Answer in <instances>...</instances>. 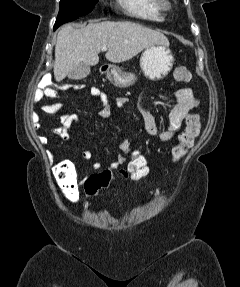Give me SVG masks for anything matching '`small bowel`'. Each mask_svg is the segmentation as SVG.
I'll return each instance as SVG.
<instances>
[{
    "label": "small bowel",
    "mask_w": 240,
    "mask_h": 287,
    "mask_svg": "<svg viewBox=\"0 0 240 287\" xmlns=\"http://www.w3.org/2000/svg\"><path fill=\"white\" fill-rule=\"evenodd\" d=\"M90 93L102 103V108L98 113L101 119H108L112 114L113 107L123 109L128 103V99L126 97L116 96L110 98L97 87H92L90 89ZM58 97L59 94L54 88L46 86L36 90L33 100L35 103H40L45 98L56 99ZM198 106L199 100L190 88L179 89L175 93L174 105L165 122V130L159 132L153 115L145 105V95H143L140 100V112L143 118L144 129L149 136L158 139L161 142H169L174 137L179 135V133L183 130L184 121L190 115L191 111ZM40 109L46 114H60V125L53 128L52 132L57 134L61 139L68 141L70 138L68 131L77 124L78 117L75 114L65 112V106L63 104H41ZM33 119L35 122H38V114H34ZM41 141L42 143H47V138L41 137ZM130 150L131 147L129 146L127 140L123 138L120 143V152L117 158L103 171L112 173L118 170L120 174L124 176L125 168L122 167L126 165ZM79 155L81 159L86 161L92 158V153L88 150L81 151ZM91 167L93 170L97 171L101 169L102 164L95 161L92 163ZM66 197L70 202L75 203L78 199V191L74 189L71 192L66 193Z\"/></svg>",
    "instance_id": "c3829d8e"
}]
</instances>
